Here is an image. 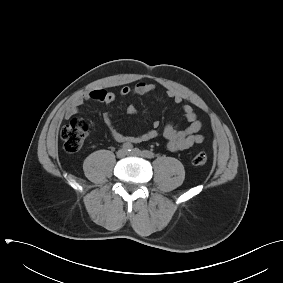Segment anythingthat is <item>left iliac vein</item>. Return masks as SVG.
<instances>
[{
    "mask_svg": "<svg viewBox=\"0 0 283 283\" xmlns=\"http://www.w3.org/2000/svg\"><path fill=\"white\" fill-rule=\"evenodd\" d=\"M131 155L133 156H140V157H144L143 152L141 150H139L138 148H134L131 152Z\"/></svg>",
    "mask_w": 283,
    "mask_h": 283,
    "instance_id": "1",
    "label": "left iliac vein"
}]
</instances>
